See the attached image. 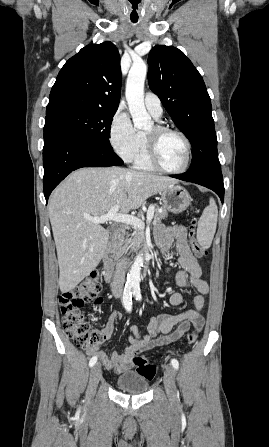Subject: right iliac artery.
Returning a JSON list of instances; mask_svg holds the SVG:
<instances>
[{
    "label": "right iliac artery",
    "instance_id": "obj_1",
    "mask_svg": "<svg viewBox=\"0 0 269 447\" xmlns=\"http://www.w3.org/2000/svg\"><path fill=\"white\" fill-rule=\"evenodd\" d=\"M132 287L133 284H126L125 288H124V293H123V303H124V307L125 309L130 312L132 309ZM97 362V357L94 356L90 359L89 362V366L92 367L95 365V363Z\"/></svg>",
    "mask_w": 269,
    "mask_h": 447
}]
</instances>
